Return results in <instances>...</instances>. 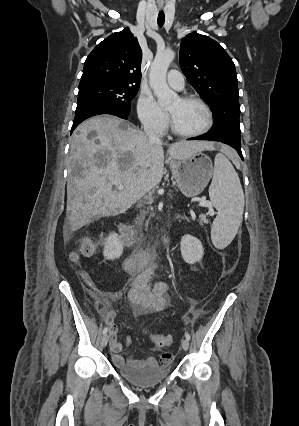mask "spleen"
I'll return each mask as SVG.
<instances>
[{"label":"spleen","mask_w":299,"mask_h":426,"mask_svg":"<svg viewBox=\"0 0 299 426\" xmlns=\"http://www.w3.org/2000/svg\"><path fill=\"white\" fill-rule=\"evenodd\" d=\"M209 197L217 210L211 228L212 242L223 249L234 239L242 222L244 193L232 163L222 153L215 157Z\"/></svg>","instance_id":"obj_1"}]
</instances>
